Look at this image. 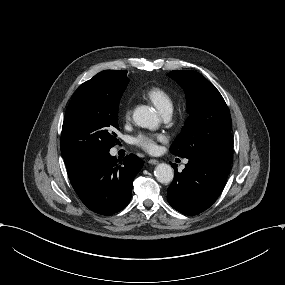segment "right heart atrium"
<instances>
[{
  "label": "right heart atrium",
  "mask_w": 285,
  "mask_h": 285,
  "mask_svg": "<svg viewBox=\"0 0 285 285\" xmlns=\"http://www.w3.org/2000/svg\"><path fill=\"white\" fill-rule=\"evenodd\" d=\"M132 103L131 102H128L125 106H124V109H123V116L128 119L131 115V112H132Z\"/></svg>",
  "instance_id": "d8ad5b80"
}]
</instances>
